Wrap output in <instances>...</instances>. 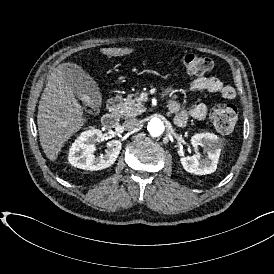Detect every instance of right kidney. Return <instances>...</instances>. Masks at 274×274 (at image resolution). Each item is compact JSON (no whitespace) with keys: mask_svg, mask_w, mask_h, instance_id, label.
<instances>
[{"mask_svg":"<svg viewBox=\"0 0 274 274\" xmlns=\"http://www.w3.org/2000/svg\"><path fill=\"white\" fill-rule=\"evenodd\" d=\"M102 137L99 129H89L82 132L72 143L69 149L68 161L77 168L97 171L110 167L116 161L122 148L119 140H111L107 143L104 155L95 157V143Z\"/></svg>","mask_w":274,"mask_h":274,"instance_id":"ca27d5eb","label":"right kidney"}]
</instances>
